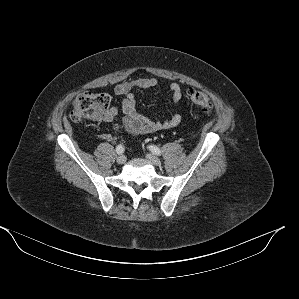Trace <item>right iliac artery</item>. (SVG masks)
Masks as SVG:
<instances>
[{
  "instance_id": "1",
  "label": "right iliac artery",
  "mask_w": 299,
  "mask_h": 299,
  "mask_svg": "<svg viewBox=\"0 0 299 299\" xmlns=\"http://www.w3.org/2000/svg\"><path fill=\"white\" fill-rule=\"evenodd\" d=\"M124 146L123 145H118L117 147H116V152H117V154H122V153H124Z\"/></svg>"
}]
</instances>
